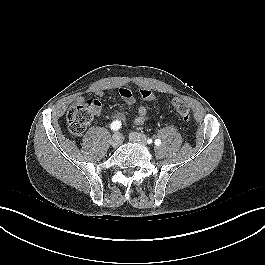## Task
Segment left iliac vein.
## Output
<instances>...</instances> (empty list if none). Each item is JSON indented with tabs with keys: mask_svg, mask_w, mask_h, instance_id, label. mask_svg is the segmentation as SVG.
<instances>
[{
	"mask_svg": "<svg viewBox=\"0 0 265 265\" xmlns=\"http://www.w3.org/2000/svg\"><path fill=\"white\" fill-rule=\"evenodd\" d=\"M129 138L132 142L141 144L143 146H145L147 143L146 136L138 132H131L129 134Z\"/></svg>",
	"mask_w": 265,
	"mask_h": 265,
	"instance_id": "obj_1",
	"label": "left iliac vein"
}]
</instances>
